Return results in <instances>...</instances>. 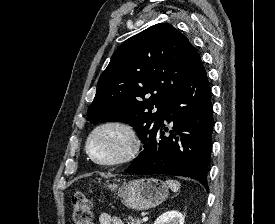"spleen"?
<instances>
[{"label":"spleen","mask_w":275,"mask_h":224,"mask_svg":"<svg viewBox=\"0 0 275 224\" xmlns=\"http://www.w3.org/2000/svg\"><path fill=\"white\" fill-rule=\"evenodd\" d=\"M166 183L170 187V189L175 193L179 191L181 186L180 182L172 179L167 180Z\"/></svg>","instance_id":"1"}]
</instances>
